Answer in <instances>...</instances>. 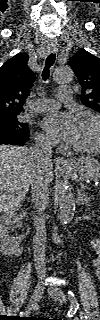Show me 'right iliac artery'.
I'll return each mask as SVG.
<instances>
[{
	"instance_id": "obj_1",
	"label": "right iliac artery",
	"mask_w": 100,
	"mask_h": 320,
	"mask_svg": "<svg viewBox=\"0 0 100 320\" xmlns=\"http://www.w3.org/2000/svg\"><path fill=\"white\" fill-rule=\"evenodd\" d=\"M26 314H28V311L20 312V315H21V316H22V315H26Z\"/></svg>"
}]
</instances>
